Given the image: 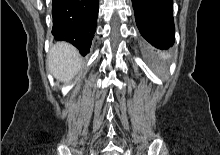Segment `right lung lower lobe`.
I'll return each instance as SVG.
<instances>
[{"mask_svg":"<svg viewBox=\"0 0 220 155\" xmlns=\"http://www.w3.org/2000/svg\"><path fill=\"white\" fill-rule=\"evenodd\" d=\"M99 0H53L52 34L77 47L85 56L97 26Z\"/></svg>","mask_w":220,"mask_h":155,"instance_id":"obj_1","label":"right lung lower lobe"}]
</instances>
